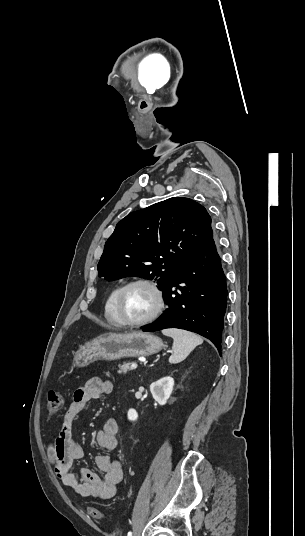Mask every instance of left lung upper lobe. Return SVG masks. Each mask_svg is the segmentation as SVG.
<instances>
[{
    "label": "left lung upper lobe",
    "mask_w": 305,
    "mask_h": 536,
    "mask_svg": "<svg viewBox=\"0 0 305 536\" xmlns=\"http://www.w3.org/2000/svg\"><path fill=\"white\" fill-rule=\"evenodd\" d=\"M213 236L211 217L190 198L173 197L130 213L105 244L98 275L138 276L165 288Z\"/></svg>",
    "instance_id": "5c2ea615"
}]
</instances>
